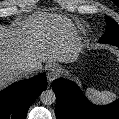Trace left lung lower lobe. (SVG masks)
I'll use <instances>...</instances> for the list:
<instances>
[{
  "label": "left lung lower lobe",
  "mask_w": 119,
  "mask_h": 119,
  "mask_svg": "<svg viewBox=\"0 0 119 119\" xmlns=\"http://www.w3.org/2000/svg\"><path fill=\"white\" fill-rule=\"evenodd\" d=\"M113 45L119 47V42ZM52 89L57 98V119H119V99L106 106L94 105L74 82L63 79L54 80Z\"/></svg>",
  "instance_id": "left-lung-lower-lobe-1"
}]
</instances>
